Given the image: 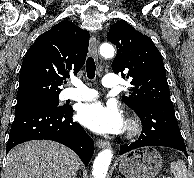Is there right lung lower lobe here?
<instances>
[{
  "label": "right lung lower lobe",
  "instance_id": "obj_1",
  "mask_svg": "<svg viewBox=\"0 0 194 178\" xmlns=\"http://www.w3.org/2000/svg\"><path fill=\"white\" fill-rule=\"evenodd\" d=\"M73 109L47 105H23L15 108V118L6 147L37 139L53 140L75 151L87 166L94 153V143L82 126L73 122Z\"/></svg>",
  "mask_w": 194,
  "mask_h": 178
}]
</instances>
